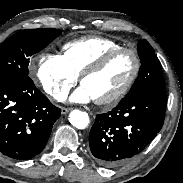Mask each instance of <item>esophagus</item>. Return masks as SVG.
I'll use <instances>...</instances> for the list:
<instances>
[{
  "label": "esophagus",
  "instance_id": "obj_1",
  "mask_svg": "<svg viewBox=\"0 0 183 183\" xmlns=\"http://www.w3.org/2000/svg\"><path fill=\"white\" fill-rule=\"evenodd\" d=\"M71 111V108H61V114H66Z\"/></svg>",
  "mask_w": 183,
  "mask_h": 183
}]
</instances>
